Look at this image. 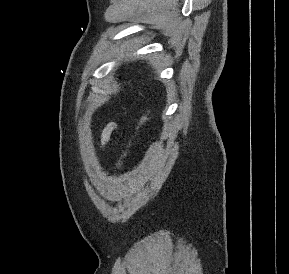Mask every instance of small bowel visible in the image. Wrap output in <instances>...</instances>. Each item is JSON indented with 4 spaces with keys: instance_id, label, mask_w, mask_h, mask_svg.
Masks as SVG:
<instances>
[{
    "instance_id": "1",
    "label": "small bowel",
    "mask_w": 289,
    "mask_h": 274,
    "mask_svg": "<svg viewBox=\"0 0 289 274\" xmlns=\"http://www.w3.org/2000/svg\"><path fill=\"white\" fill-rule=\"evenodd\" d=\"M117 130V124L115 122H109L102 129L100 134V148L104 151L105 147L109 143L113 133Z\"/></svg>"
}]
</instances>
